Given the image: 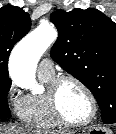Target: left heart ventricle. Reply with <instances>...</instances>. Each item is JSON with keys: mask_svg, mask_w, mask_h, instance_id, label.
<instances>
[{"mask_svg": "<svg viewBox=\"0 0 116 134\" xmlns=\"http://www.w3.org/2000/svg\"><path fill=\"white\" fill-rule=\"evenodd\" d=\"M58 102L62 114L73 122L85 120L91 112L88 96L79 86L72 82H66L62 85Z\"/></svg>", "mask_w": 116, "mask_h": 134, "instance_id": "obj_1", "label": "left heart ventricle"}]
</instances>
